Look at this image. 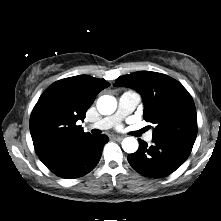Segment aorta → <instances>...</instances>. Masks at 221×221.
Wrapping results in <instances>:
<instances>
[{
	"mask_svg": "<svg viewBox=\"0 0 221 221\" xmlns=\"http://www.w3.org/2000/svg\"><path fill=\"white\" fill-rule=\"evenodd\" d=\"M117 108V101L110 95H103L97 101V110L102 115H111ZM138 141L134 137H126L122 141V148L127 153H134L138 149Z\"/></svg>",
	"mask_w": 221,
	"mask_h": 221,
	"instance_id": "1",
	"label": "aorta"
}]
</instances>
